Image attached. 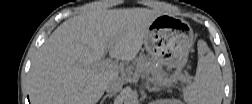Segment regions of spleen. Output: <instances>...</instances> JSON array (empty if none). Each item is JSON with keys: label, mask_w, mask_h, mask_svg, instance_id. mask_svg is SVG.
I'll list each match as a JSON object with an SVG mask.
<instances>
[{"label": "spleen", "mask_w": 252, "mask_h": 104, "mask_svg": "<svg viewBox=\"0 0 252 104\" xmlns=\"http://www.w3.org/2000/svg\"><path fill=\"white\" fill-rule=\"evenodd\" d=\"M198 65L194 82L183 90V99L188 104H220L223 83L220 66L206 42H198Z\"/></svg>", "instance_id": "3e777b00"}]
</instances>
